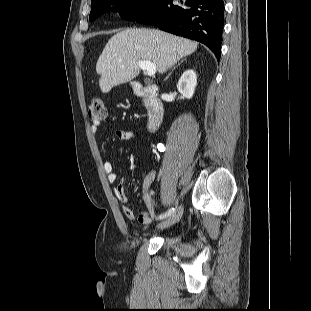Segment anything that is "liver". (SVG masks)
<instances>
[{
	"label": "liver",
	"mask_w": 311,
	"mask_h": 311,
	"mask_svg": "<svg viewBox=\"0 0 311 311\" xmlns=\"http://www.w3.org/2000/svg\"><path fill=\"white\" fill-rule=\"evenodd\" d=\"M198 44L154 29H125L115 34L100 55L96 72L103 93L124 84L140 73L138 62L150 61L159 73L196 51Z\"/></svg>",
	"instance_id": "liver-1"
}]
</instances>
